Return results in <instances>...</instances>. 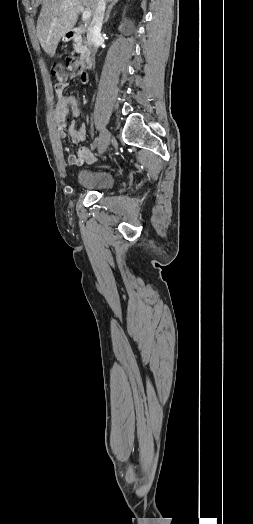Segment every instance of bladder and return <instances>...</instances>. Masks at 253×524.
Masks as SVG:
<instances>
[{
    "label": "bladder",
    "instance_id": "31cf9c89",
    "mask_svg": "<svg viewBox=\"0 0 253 524\" xmlns=\"http://www.w3.org/2000/svg\"><path fill=\"white\" fill-rule=\"evenodd\" d=\"M79 183L85 190L104 192L114 186L115 176L108 171H83Z\"/></svg>",
    "mask_w": 253,
    "mask_h": 524
}]
</instances>
